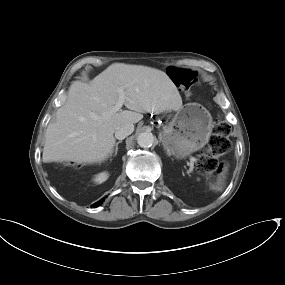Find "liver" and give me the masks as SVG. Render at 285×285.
I'll return each instance as SVG.
<instances>
[{
	"label": "liver",
	"instance_id": "1",
	"mask_svg": "<svg viewBox=\"0 0 285 285\" xmlns=\"http://www.w3.org/2000/svg\"><path fill=\"white\" fill-rule=\"evenodd\" d=\"M120 88L129 110L114 112ZM181 108V96L165 72L141 65L112 64L89 84H71L67 101L46 129L42 160L101 163L112 155L117 127L139 122L143 112Z\"/></svg>",
	"mask_w": 285,
	"mask_h": 285
}]
</instances>
